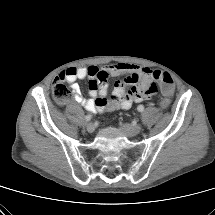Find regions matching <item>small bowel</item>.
Instances as JSON below:
<instances>
[{"label": "small bowel", "instance_id": "c3829d8e", "mask_svg": "<svg viewBox=\"0 0 215 215\" xmlns=\"http://www.w3.org/2000/svg\"><path fill=\"white\" fill-rule=\"evenodd\" d=\"M127 74L123 81L115 84L111 98H107L108 77ZM59 77L70 84L73 100L91 113H101L116 109H129L134 103L150 99L146 95L152 85V70L133 63H117L105 67H70L62 71ZM89 79L90 98L81 94L78 80ZM126 86H130L126 90Z\"/></svg>", "mask_w": 215, "mask_h": 215}]
</instances>
